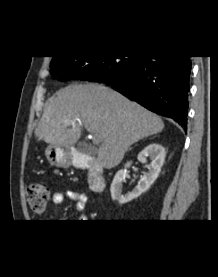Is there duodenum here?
Wrapping results in <instances>:
<instances>
[{
	"instance_id": "obj_1",
	"label": "duodenum",
	"mask_w": 218,
	"mask_h": 277,
	"mask_svg": "<svg viewBox=\"0 0 218 277\" xmlns=\"http://www.w3.org/2000/svg\"><path fill=\"white\" fill-rule=\"evenodd\" d=\"M71 159L74 167L88 171V186L90 190L95 193L103 192L105 189V178L97 159L81 152H74Z\"/></svg>"
}]
</instances>
